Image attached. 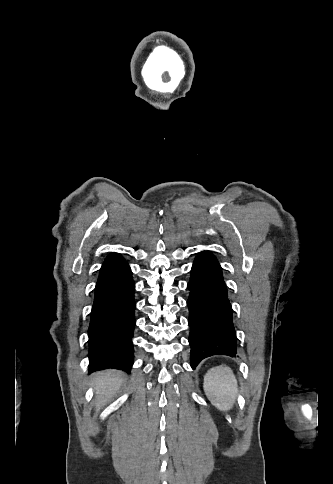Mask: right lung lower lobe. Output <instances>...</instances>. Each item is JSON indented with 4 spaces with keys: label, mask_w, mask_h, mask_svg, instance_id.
<instances>
[{
    "label": "right lung lower lobe",
    "mask_w": 333,
    "mask_h": 484,
    "mask_svg": "<svg viewBox=\"0 0 333 484\" xmlns=\"http://www.w3.org/2000/svg\"><path fill=\"white\" fill-rule=\"evenodd\" d=\"M135 284L117 253L104 261L95 287L89 335V373L106 368L130 372L133 364Z\"/></svg>",
    "instance_id": "1"
}]
</instances>
